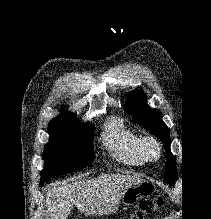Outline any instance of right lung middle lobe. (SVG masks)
I'll use <instances>...</instances> for the list:
<instances>
[{
  "mask_svg": "<svg viewBox=\"0 0 211 219\" xmlns=\"http://www.w3.org/2000/svg\"><path fill=\"white\" fill-rule=\"evenodd\" d=\"M94 130L93 125L85 126L76 118L53 119L50 122L40 185L55 175L71 173L92 163Z\"/></svg>",
  "mask_w": 211,
  "mask_h": 219,
  "instance_id": "dd1d6c3e",
  "label": "right lung middle lobe"
}]
</instances>
